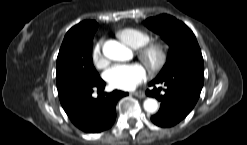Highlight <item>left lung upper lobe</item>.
<instances>
[{
	"mask_svg": "<svg viewBox=\"0 0 247 145\" xmlns=\"http://www.w3.org/2000/svg\"><path fill=\"white\" fill-rule=\"evenodd\" d=\"M145 25L160 34L169 45L168 59L156 78L176 72L204 75V63L200 47L193 32L173 16L162 14L148 18Z\"/></svg>",
	"mask_w": 247,
	"mask_h": 145,
	"instance_id": "5c2ea615",
	"label": "left lung upper lobe"
}]
</instances>
